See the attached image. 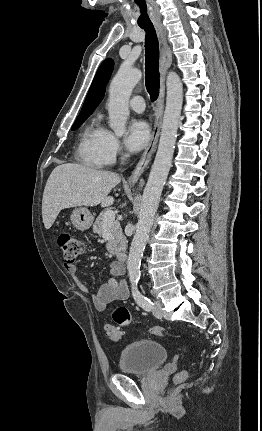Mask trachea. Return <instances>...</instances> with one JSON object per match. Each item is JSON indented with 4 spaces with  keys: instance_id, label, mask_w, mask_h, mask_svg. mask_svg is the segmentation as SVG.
Returning a JSON list of instances; mask_svg holds the SVG:
<instances>
[{
    "instance_id": "3493384b",
    "label": "trachea",
    "mask_w": 262,
    "mask_h": 431,
    "mask_svg": "<svg viewBox=\"0 0 262 431\" xmlns=\"http://www.w3.org/2000/svg\"><path fill=\"white\" fill-rule=\"evenodd\" d=\"M138 11L146 13L147 6L145 0H135ZM146 32L145 37V83L151 101H155L159 95V44L156 31L153 25L140 26Z\"/></svg>"
}]
</instances>
